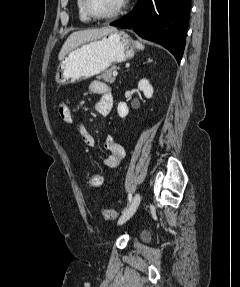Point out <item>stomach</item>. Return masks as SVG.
Returning <instances> with one entry per match:
<instances>
[{
	"label": "stomach",
	"instance_id": "obj_1",
	"mask_svg": "<svg viewBox=\"0 0 240 287\" xmlns=\"http://www.w3.org/2000/svg\"><path fill=\"white\" fill-rule=\"evenodd\" d=\"M136 45L121 30L113 31L71 50L59 64L55 81L58 85L80 82L104 72L115 63L131 59Z\"/></svg>",
	"mask_w": 240,
	"mask_h": 287
}]
</instances>
